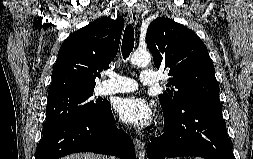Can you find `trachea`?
Masks as SVG:
<instances>
[{
  "label": "trachea",
  "instance_id": "1",
  "mask_svg": "<svg viewBox=\"0 0 253 159\" xmlns=\"http://www.w3.org/2000/svg\"><path fill=\"white\" fill-rule=\"evenodd\" d=\"M134 47V28L131 24L127 25L122 40V56L128 58Z\"/></svg>",
  "mask_w": 253,
  "mask_h": 159
}]
</instances>
